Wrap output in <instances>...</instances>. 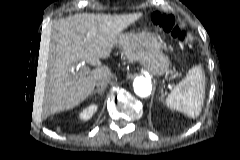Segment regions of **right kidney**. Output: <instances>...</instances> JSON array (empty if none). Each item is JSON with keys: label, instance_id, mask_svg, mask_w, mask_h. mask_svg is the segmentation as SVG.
Here are the masks:
<instances>
[{"label": "right kidney", "instance_id": "ca27d5eb", "mask_svg": "<svg viewBox=\"0 0 240 160\" xmlns=\"http://www.w3.org/2000/svg\"><path fill=\"white\" fill-rule=\"evenodd\" d=\"M96 109L97 107L95 105H91L81 113V117L84 120L89 119L93 115V113L96 111Z\"/></svg>", "mask_w": 240, "mask_h": 160}]
</instances>
